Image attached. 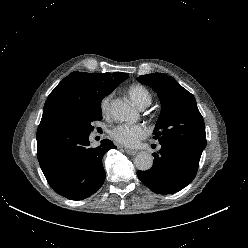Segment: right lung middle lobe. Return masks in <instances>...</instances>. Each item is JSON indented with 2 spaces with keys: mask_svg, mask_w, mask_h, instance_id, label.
<instances>
[{
  "mask_svg": "<svg viewBox=\"0 0 248 248\" xmlns=\"http://www.w3.org/2000/svg\"><path fill=\"white\" fill-rule=\"evenodd\" d=\"M101 101H98L84 113L64 120L59 127L73 129L82 133H90L94 127L92 122L102 119Z\"/></svg>",
  "mask_w": 248,
  "mask_h": 248,
  "instance_id": "obj_1",
  "label": "right lung middle lobe"
}]
</instances>
